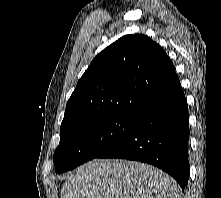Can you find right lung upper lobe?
I'll use <instances>...</instances> for the list:
<instances>
[{
  "instance_id": "cb5924a9",
  "label": "right lung upper lobe",
  "mask_w": 221,
  "mask_h": 198,
  "mask_svg": "<svg viewBox=\"0 0 221 198\" xmlns=\"http://www.w3.org/2000/svg\"><path fill=\"white\" fill-rule=\"evenodd\" d=\"M179 86L160 45L145 35H125L99 53L78 81L60 135L110 115L141 116Z\"/></svg>"
}]
</instances>
